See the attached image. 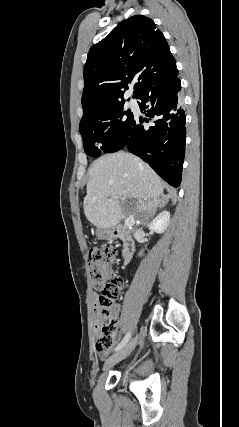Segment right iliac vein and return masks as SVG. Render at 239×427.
<instances>
[{
	"label": "right iliac vein",
	"instance_id": "63e3f726",
	"mask_svg": "<svg viewBox=\"0 0 239 427\" xmlns=\"http://www.w3.org/2000/svg\"><path fill=\"white\" fill-rule=\"evenodd\" d=\"M138 341V337H134L124 348H122L120 351L112 355L104 364L103 369L107 370L109 367L117 364L118 362L125 359L127 356L130 355V353L134 350L136 344Z\"/></svg>",
	"mask_w": 239,
	"mask_h": 427
}]
</instances>
